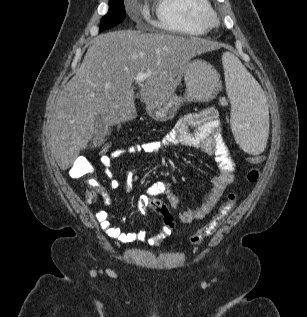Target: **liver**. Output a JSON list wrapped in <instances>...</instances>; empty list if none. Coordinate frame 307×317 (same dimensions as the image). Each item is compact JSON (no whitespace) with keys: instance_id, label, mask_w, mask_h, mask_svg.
<instances>
[{"instance_id":"obj_1","label":"liver","mask_w":307,"mask_h":317,"mask_svg":"<svg viewBox=\"0 0 307 317\" xmlns=\"http://www.w3.org/2000/svg\"><path fill=\"white\" fill-rule=\"evenodd\" d=\"M217 48L206 39L166 33L122 30L96 37L55 108L51 152L60 169H68L87 146L97 115L108 126L136 117L132 84L138 73H151L141 86L143 103H164L181 83L187 62Z\"/></svg>"}]
</instances>
